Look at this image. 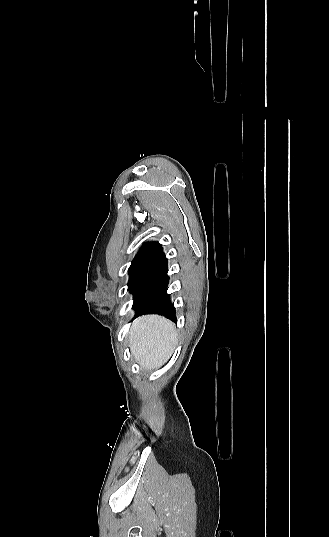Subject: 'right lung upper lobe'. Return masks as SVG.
Wrapping results in <instances>:
<instances>
[{"instance_id":"cb5924a9","label":"right lung upper lobe","mask_w":329,"mask_h":537,"mask_svg":"<svg viewBox=\"0 0 329 537\" xmlns=\"http://www.w3.org/2000/svg\"><path fill=\"white\" fill-rule=\"evenodd\" d=\"M165 254L161 247V244L158 242H146L139 249L138 253L132 260V264H144L149 265L153 262L164 257Z\"/></svg>"}]
</instances>
